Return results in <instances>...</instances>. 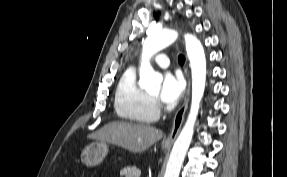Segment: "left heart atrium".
Instances as JSON below:
<instances>
[{"instance_id": "left-heart-atrium-1", "label": "left heart atrium", "mask_w": 287, "mask_h": 177, "mask_svg": "<svg viewBox=\"0 0 287 177\" xmlns=\"http://www.w3.org/2000/svg\"><path fill=\"white\" fill-rule=\"evenodd\" d=\"M185 83L178 73L168 71L163 76L160 98L165 104H174L184 93Z\"/></svg>"}]
</instances>
